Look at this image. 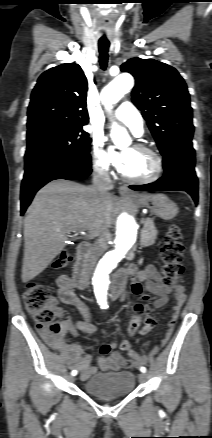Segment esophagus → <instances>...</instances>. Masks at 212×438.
I'll return each instance as SVG.
<instances>
[{"mask_svg":"<svg viewBox=\"0 0 212 438\" xmlns=\"http://www.w3.org/2000/svg\"><path fill=\"white\" fill-rule=\"evenodd\" d=\"M119 193L122 195V196H130V195H133V193L129 190V188L127 187V186H125V185H123V186H121L120 188H119Z\"/></svg>","mask_w":212,"mask_h":438,"instance_id":"esophagus-1","label":"esophagus"}]
</instances>
